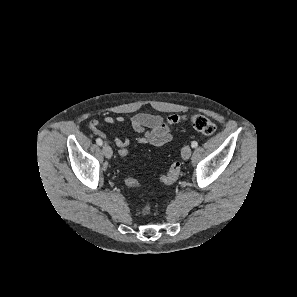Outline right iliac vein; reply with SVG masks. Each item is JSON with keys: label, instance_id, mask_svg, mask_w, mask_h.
I'll return each instance as SVG.
<instances>
[{"label": "right iliac vein", "instance_id": "obj_1", "mask_svg": "<svg viewBox=\"0 0 297 297\" xmlns=\"http://www.w3.org/2000/svg\"><path fill=\"white\" fill-rule=\"evenodd\" d=\"M102 151L106 158L110 159L112 157L113 151H112L111 147L108 146L107 144H105L103 146Z\"/></svg>", "mask_w": 297, "mask_h": 297}]
</instances>
